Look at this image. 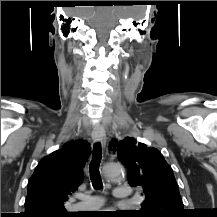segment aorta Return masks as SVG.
<instances>
[{
  "mask_svg": "<svg viewBox=\"0 0 217 217\" xmlns=\"http://www.w3.org/2000/svg\"><path fill=\"white\" fill-rule=\"evenodd\" d=\"M103 173L109 181H119L123 179L124 171L120 164L108 163L103 167Z\"/></svg>",
  "mask_w": 217,
  "mask_h": 217,
  "instance_id": "762f6f07",
  "label": "aorta"
}]
</instances>
